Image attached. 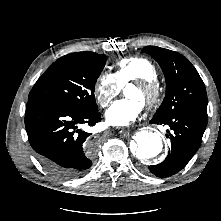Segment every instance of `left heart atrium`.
I'll return each instance as SVG.
<instances>
[{
  "mask_svg": "<svg viewBox=\"0 0 221 221\" xmlns=\"http://www.w3.org/2000/svg\"><path fill=\"white\" fill-rule=\"evenodd\" d=\"M143 104L131 97L116 100L105 113L106 122L113 126H127L137 119Z\"/></svg>",
  "mask_w": 221,
  "mask_h": 221,
  "instance_id": "obj_1",
  "label": "left heart atrium"
}]
</instances>
